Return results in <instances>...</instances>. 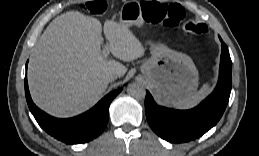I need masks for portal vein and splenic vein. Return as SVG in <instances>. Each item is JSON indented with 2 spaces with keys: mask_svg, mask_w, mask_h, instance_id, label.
Instances as JSON below:
<instances>
[{
  "mask_svg": "<svg viewBox=\"0 0 259 156\" xmlns=\"http://www.w3.org/2000/svg\"><path fill=\"white\" fill-rule=\"evenodd\" d=\"M109 54V49H108V45H105L104 49H103V56L107 57Z\"/></svg>",
  "mask_w": 259,
  "mask_h": 156,
  "instance_id": "1",
  "label": "portal vein and splenic vein"
}]
</instances>
